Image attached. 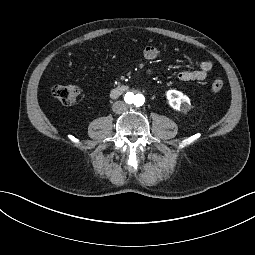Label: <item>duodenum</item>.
<instances>
[{
  "instance_id": "410a0bca",
  "label": "duodenum",
  "mask_w": 255,
  "mask_h": 255,
  "mask_svg": "<svg viewBox=\"0 0 255 255\" xmlns=\"http://www.w3.org/2000/svg\"><path fill=\"white\" fill-rule=\"evenodd\" d=\"M128 89L126 85H117L111 90V95L113 97L118 96Z\"/></svg>"
}]
</instances>
